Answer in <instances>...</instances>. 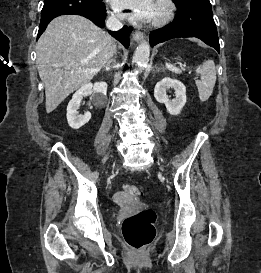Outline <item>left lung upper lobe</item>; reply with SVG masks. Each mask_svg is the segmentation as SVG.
<instances>
[{"mask_svg":"<svg viewBox=\"0 0 261 273\" xmlns=\"http://www.w3.org/2000/svg\"><path fill=\"white\" fill-rule=\"evenodd\" d=\"M180 1H182V0H173V2H175V3H176V2H180Z\"/></svg>","mask_w":261,"mask_h":273,"instance_id":"5c2ea615","label":"left lung upper lobe"}]
</instances>
